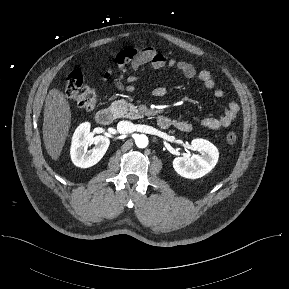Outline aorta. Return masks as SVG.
I'll return each instance as SVG.
<instances>
[{"mask_svg": "<svg viewBox=\"0 0 289 289\" xmlns=\"http://www.w3.org/2000/svg\"><path fill=\"white\" fill-rule=\"evenodd\" d=\"M135 143L139 148H145L148 145V137L144 134L138 135L135 139Z\"/></svg>", "mask_w": 289, "mask_h": 289, "instance_id": "1", "label": "aorta"}]
</instances>
